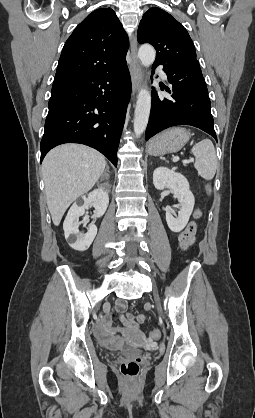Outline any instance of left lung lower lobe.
<instances>
[{
	"label": "left lung lower lobe",
	"instance_id": "1",
	"mask_svg": "<svg viewBox=\"0 0 255 418\" xmlns=\"http://www.w3.org/2000/svg\"><path fill=\"white\" fill-rule=\"evenodd\" d=\"M159 63L153 64V71ZM163 71L172 85L169 98L152 91V107L145 138L176 125H191L207 132L216 140L208 90L198 61L165 64Z\"/></svg>",
	"mask_w": 255,
	"mask_h": 418
}]
</instances>
